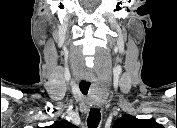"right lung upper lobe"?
Segmentation results:
<instances>
[{
    "label": "right lung upper lobe",
    "mask_w": 177,
    "mask_h": 128,
    "mask_svg": "<svg viewBox=\"0 0 177 128\" xmlns=\"http://www.w3.org/2000/svg\"><path fill=\"white\" fill-rule=\"evenodd\" d=\"M73 126L74 125H72L71 123H69L67 121H60V122L52 125L53 128H71Z\"/></svg>",
    "instance_id": "cb5924a9"
}]
</instances>
